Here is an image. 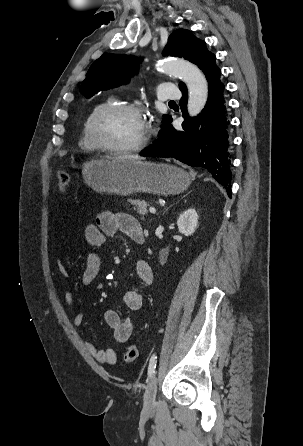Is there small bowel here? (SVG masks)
I'll use <instances>...</instances> for the list:
<instances>
[{
  "label": "small bowel",
  "instance_id": "obj_1",
  "mask_svg": "<svg viewBox=\"0 0 303 446\" xmlns=\"http://www.w3.org/2000/svg\"><path fill=\"white\" fill-rule=\"evenodd\" d=\"M117 234H124L136 243L143 236L142 228L137 219L126 213H113L105 211L96 218L95 224H90L85 228L84 240L88 247L94 249L102 246L107 237ZM57 268L59 272L68 277L69 273L64 264L58 260ZM101 268V261L95 252H89L86 257L85 267L82 274V282L90 285L97 279ZM136 279L139 285L148 286L153 282V272L150 265L139 260L136 263ZM65 300L69 306H73V295L71 291L65 292ZM123 302L130 311H138L142 307V294L139 287L127 290L123 295ZM84 314L77 312L73 322L75 326H81L84 322ZM104 321L112 330L116 342L124 343L132 335L133 323L130 319H124L115 310H108L104 313ZM86 349L98 362L114 365L117 362V353L113 348L99 349L93 342L86 343Z\"/></svg>",
  "mask_w": 303,
  "mask_h": 446
}]
</instances>
